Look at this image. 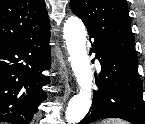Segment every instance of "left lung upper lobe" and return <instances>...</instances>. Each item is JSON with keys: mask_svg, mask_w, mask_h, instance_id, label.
Listing matches in <instances>:
<instances>
[{"mask_svg": "<svg viewBox=\"0 0 145 124\" xmlns=\"http://www.w3.org/2000/svg\"><path fill=\"white\" fill-rule=\"evenodd\" d=\"M70 8L86 25L89 36L137 59L125 0H71Z\"/></svg>", "mask_w": 145, "mask_h": 124, "instance_id": "1", "label": "left lung upper lobe"}]
</instances>
